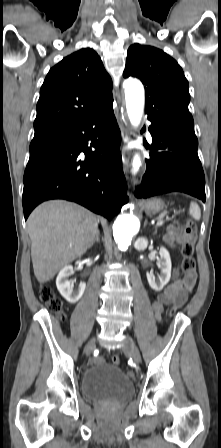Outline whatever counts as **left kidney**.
<instances>
[{"instance_id": "5707ae66", "label": "left kidney", "mask_w": 221, "mask_h": 448, "mask_svg": "<svg viewBox=\"0 0 221 448\" xmlns=\"http://www.w3.org/2000/svg\"><path fill=\"white\" fill-rule=\"evenodd\" d=\"M148 245V240L144 237L139 238L135 243V248L137 250H143ZM160 275L156 278L152 272H147V280L150 287L155 291H161L164 286L169 282L171 277V258L168 250L164 247L160 248Z\"/></svg>"}]
</instances>
